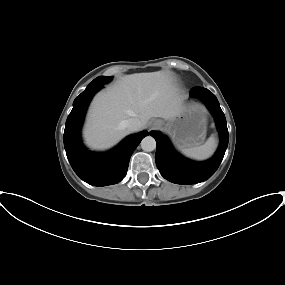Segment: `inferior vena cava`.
I'll list each match as a JSON object with an SVG mask.
<instances>
[{"instance_id":"obj_1","label":"inferior vena cava","mask_w":285,"mask_h":285,"mask_svg":"<svg viewBox=\"0 0 285 285\" xmlns=\"http://www.w3.org/2000/svg\"><path fill=\"white\" fill-rule=\"evenodd\" d=\"M123 126L129 131H137L141 128V122L137 118H130L123 121Z\"/></svg>"}]
</instances>
